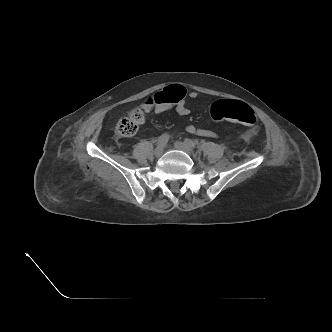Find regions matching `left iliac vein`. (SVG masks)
I'll use <instances>...</instances> for the list:
<instances>
[{
    "label": "left iliac vein",
    "instance_id": "1",
    "mask_svg": "<svg viewBox=\"0 0 332 332\" xmlns=\"http://www.w3.org/2000/svg\"><path fill=\"white\" fill-rule=\"evenodd\" d=\"M174 147L178 150H181V151H184L188 154H191L193 152V148L190 147L189 145H187L186 143L184 142H180V141H176L174 143Z\"/></svg>",
    "mask_w": 332,
    "mask_h": 332
}]
</instances>
